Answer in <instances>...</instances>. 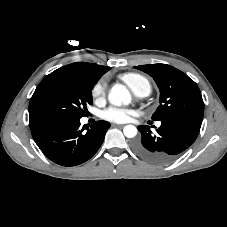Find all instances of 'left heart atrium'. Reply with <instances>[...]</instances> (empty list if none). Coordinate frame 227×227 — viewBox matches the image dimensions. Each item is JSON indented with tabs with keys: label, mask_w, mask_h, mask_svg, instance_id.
Masks as SVG:
<instances>
[{
	"label": "left heart atrium",
	"mask_w": 227,
	"mask_h": 227,
	"mask_svg": "<svg viewBox=\"0 0 227 227\" xmlns=\"http://www.w3.org/2000/svg\"><path fill=\"white\" fill-rule=\"evenodd\" d=\"M133 114V110L121 107H110L103 111V118L114 123L127 122Z\"/></svg>",
	"instance_id": "left-heart-atrium-1"
}]
</instances>
